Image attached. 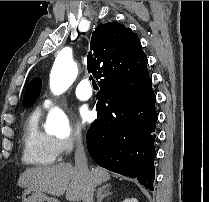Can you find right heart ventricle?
<instances>
[{
	"label": "right heart ventricle",
	"instance_id": "right-heart-ventricle-1",
	"mask_svg": "<svg viewBox=\"0 0 209 202\" xmlns=\"http://www.w3.org/2000/svg\"><path fill=\"white\" fill-rule=\"evenodd\" d=\"M41 114L34 112L22 132V159L28 165L48 166L58 161L60 150L54 136L40 126Z\"/></svg>",
	"mask_w": 209,
	"mask_h": 202
}]
</instances>
